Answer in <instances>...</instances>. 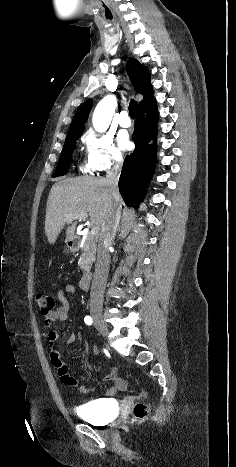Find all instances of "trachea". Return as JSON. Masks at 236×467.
I'll list each match as a JSON object with an SVG mask.
<instances>
[{
    "instance_id": "obj_1",
    "label": "trachea",
    "mask_w": 236,
    "mask_h": 467,
    "mask_svg": "<svg viewBox=\"0 0 236 467\" xmlns=\"http://www.w3.org/2000/svg\"><path fill=\"white\" fill-rule=\"evenodd\" d=\"M137 107H138V103L132 99L129 105V114L131 118L136 117Z\"/></svg>"
}]
</instances>
